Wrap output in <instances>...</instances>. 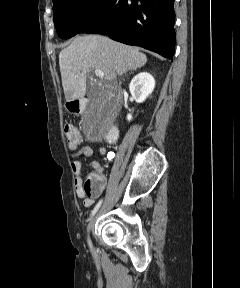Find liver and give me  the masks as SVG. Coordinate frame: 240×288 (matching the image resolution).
<instances>
[{"label":"liver","mask_w":240,"mask_h":288,"mask_svg":"<svg viewBox=\"0 0 240 288\" xmlns=\"http://www.w3.org/2000/svg\"><path fill=\"white\" fill-rule=\"evenodd\" d=\"M147 57L139 49L99 35L75 38L59 54L62 86L67 101L82 99L86 94L87 74L92 69L103 71L104 79L143 67Z\"/></svg>","instance_id":"6515ba94"}]
</instances>
